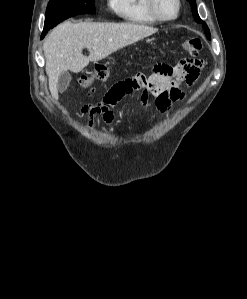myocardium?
<instances>
[{
  "label": "myocardium",
  "mask_w": 247,
  "mask_h": 299,
  "mask_svg": "<svg viewBox=\"0 0 247 299\" xmlns=\"http://www.w3.org/2000/svg\"><path fill=\"white\" fill-rule=\"evenodd\" d=\"M174 1L176 3V12L171 17H164L159 13V11L157 9V0H147L149 12L157 21H160V22L173 21V20L177 19V17L180 14V11H181V0H174Z\"/></svg>",
  "instance_id": "obj_1"
}]
</instances>
